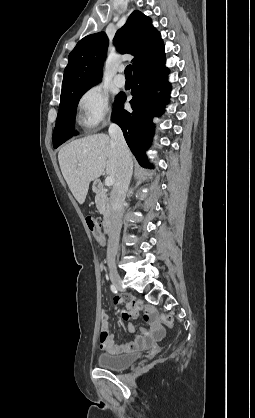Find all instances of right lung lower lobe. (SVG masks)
I'll list each match as a JSON object with an SVG mask.
<instances>
[{
    "instance_id": "98d812e1",
    "label": "right lung lower lobe",
    "mask_w": 255,
    "mask_h": 418,
    "mask_svg": "<svg viewBox=\"0 0 255 418\" xmlns=\"http://www.w3.org/2000/svg\"><path fill=\"white\" fill-rule=\"evenodd\" d=\"M168 73L164 57L133 74L131 112L124 109L126 96L119 94L116 97L112 119L121 127L128 146L143 167H151L145 151L151 144L154 132L152 119L163 113L164 106L169 101L171 85L168 82ZM157 90L161 92L157 93Z\"/></svg>"
}]
</instances>
